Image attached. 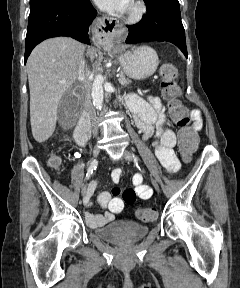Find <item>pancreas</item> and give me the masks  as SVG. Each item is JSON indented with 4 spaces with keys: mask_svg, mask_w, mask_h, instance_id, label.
<instances>
[{
    "mask_svg": "<svg viewBox=\"0 0 240 288\" xmlns=\"http://www.w3.org/2000/svg\"><path fill=\"white\" fill-rule=\"evenodd\" d=\"M119 83L122 86H127V85L131 84V80L126 78L124 75H121L120 78H119Z\"/></svg>",
    "mask_w": 240,
    "mask_h": 288,
    "instance_id": "obj_1",
    "label": "pancreas"
}]
</instances>
